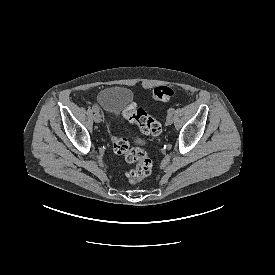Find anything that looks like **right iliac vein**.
<instances>
[{
  "label": "right iliac vein",
  "instance_id": "1",
  "mask_svg": "<svg viewBox=\"0 0 275 275\" xmlns=\"http://www.w3.org/2000/svg\"><path fill=\"white\" fill-rule=\"evenodd\" d=\"M93 117H94V121L96 123H100L101 122V115H100V112L98 110L94 112V116Z\"/></svg>",
  "mask_w": 275,
  "mask_h": 275
}]
</instances>
